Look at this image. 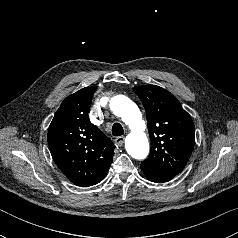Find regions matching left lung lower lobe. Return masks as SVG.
Returning <instances> with one entry per match:
<instances>
[{"label":"left lung lower lobe","instance_id":"left-lung-lower-lobe-1","mask_svg":"<svg viewBox=\"0 0 238 238\" xmlns=\"http://www.w3.org/2000/svg\"><path fill=\"white\" fill-rule=\"evenodd\" d=\"M141 170L145 174L146 178L155 183H164L170 181L176 175L171 173L160 172L154 170L146 165L141 164Z\"/></svg>","mask_w":238,"mask_h":238}]
</instances>
